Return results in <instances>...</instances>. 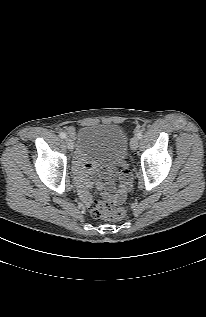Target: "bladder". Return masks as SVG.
<instances>
[{"mask_svg": "<svg viewBox=\"0 0 206 317\" xmlns=\"http://www.w3.org/2000/svg\"><path fill=\"white\" fill-rule=\"evenodd\" d=\"M80 151L96 160L101 168L119 165L127 155L129 138L117 124H87L77 134Z\"/></svg>", "mask_w": 206, "mask_h": 317, "instance_id": "bladder-1", "label": "bladder"}]
</instances>
